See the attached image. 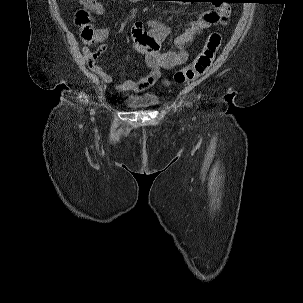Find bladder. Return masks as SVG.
Returning <instances> with one entry per match:
<instances>
[{
    "label": "bladder",
    "mask_w": 303,
    "mask_h": 303,
    "mask_svg": "<svg viewBox=\"0 0 303 303\" xmlns=\"http://www.w3.org/2000/svg\"><path fill=\"white\" fill-rule=\"evenodd\" d=\"M159 101V98L154 95L130 94L125 98L124 104L128 109L142 110L156 106Z\"/></svg>",
    "instance_id": "31cf9c89"
}]
</instances>
